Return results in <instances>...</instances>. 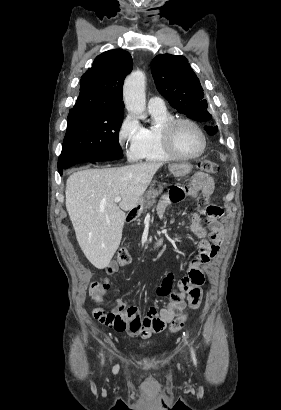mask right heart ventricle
<instances>
[{
	"mask_svg": "<svg viewBox=\"0 0 281 410\" xmlns=\"http://www.w3.org/2000/svg\"><path fill=\"white\" fill-rule=\"evenodd\" d=\"M153 117V124L144 128V138L139 153V160L150 162H167L174 158L165 150L160 139V128L172 118V115L164 110H149Z\"/></svg>",
	"mask_w": 281,
	"mask_h": 410,
	"instance_id": "right-heart-ventricle-1",
	"label": "right heart ventricle"
}]
</instances>
